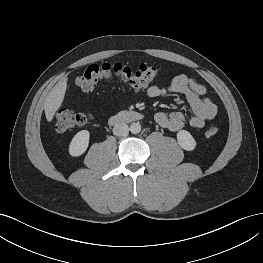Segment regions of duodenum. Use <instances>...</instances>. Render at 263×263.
I'll return each mask as SVG.
<instances>
[{
    "instance_id": "1",
    "label": "duodenum",
    "mask_w": 263,
    "mask_h": 263,
    "mask_svg": "<svg viewBox=\"0 0 263 263\" xmlns=\"http://www.w3.org/2000/svg\"><path fill=\"white\" fill-rule=\"evenodd\" d=\"M143 119V115L140 112L128 111L109 118V123L112 125L123 122H134Z\"/></svg>"
}]
</instances>
